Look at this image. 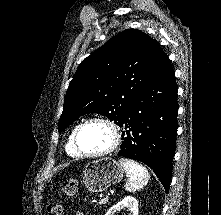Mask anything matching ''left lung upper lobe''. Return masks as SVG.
Here are the masks:
<instances>
[{
	"instance_id": "5c2ea615",
	"label": "left lung upper lobe",
	"mask_w": 221,
	"mask_h": 215,
	"mask_svg": "<svg viewBox=\"0 0 221 215\" xmlns=\"http://www.w3.org/2000/svg\"><path fill=\"white\" fill-rule=\"evenodd\" d=\"M166 58L158 42L140 30L115 35L79 65L66 92L59 131L87 113L102 114L119 125Z\"/></svg>"
}]
</instances>
